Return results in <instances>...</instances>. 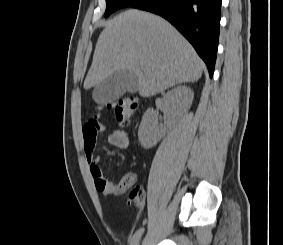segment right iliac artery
Instances as JSON below:
<instances>
[{
  "instance_id": "82829eb1",
  "label": "right iliac artery",
  "mask_w": 283,
  "mask_h": 245,
  "mask_svg": "<svg viewBox=\"0 0 283 245\" xmlns=\"http://www.w3.org/2000/svg\"><path fill=\"white\" fill-rule=\"evenodd\" d=\"M143 231H144V228H140L136 231V233L134 234V236L131 239V245H137Z\"/></svg>"
}]
</instances>
